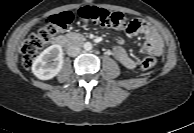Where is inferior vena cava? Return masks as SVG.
<instances>
[{
	"instance_id": "inferior-vena-cava-1",
	"label": "inferior vena cava",
	"mask_w": 194,
	"mask_h": 133,
	"mask_svg": "<svg viewBox=\"0 0 194 133\" xmlns=\"http://www.w3.org/2000/svg\"><path fill=\"white\" fill-rule=\"evenodd\" d=\"M81 52V48L79 46L76 45H72L70 47H68L67 49V54L71 57H75L77 55H79Z\"/></svg>"
}]
</instances>
